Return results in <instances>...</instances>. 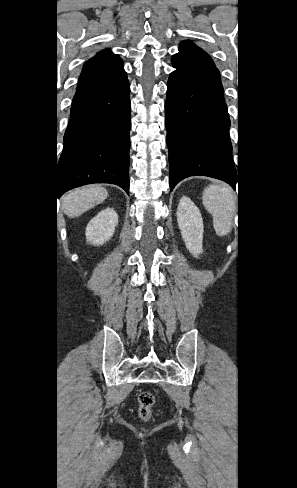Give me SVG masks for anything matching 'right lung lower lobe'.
Listing matches in <instances>:
<instances>
[{"instance_id": "obj_1", "label": "right lung lower lobe", "mask_w": 297, "mask_h": 488, "mask_svg": "<svg viewBox=\"0 0 297 488\" xmlns=\"http://www.w3.org/2000/svg\"><path fill=\"white\" fill-rule=\"evenodd\" d=\"M130 86L126 74L71 107L59 161L58 197L91 183H112L129 193Z\"/></svg>"}]
</instances>
